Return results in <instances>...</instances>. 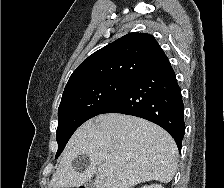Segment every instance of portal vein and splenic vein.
Listing matches in <instances>:
<instances>
[{"label":"portal vein and splenic vein","instance_id":"1","mask_svg":"<svg viewBox=\"0 0 224 188\" xmlns=\"http://www.w3.org/2000/svg\"><path fill=\"white\" fill-rule=\"evenodd\" d=\"M100 171H102V170H100ZM102 172L105 173V174H108L107 171H104V170H103Z\"/></svg>","mask_w":224,"mask_h":188}]
</instances>
